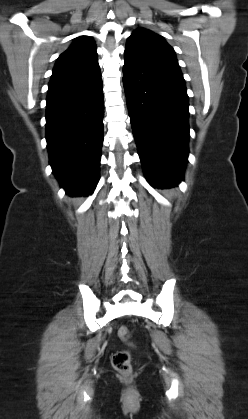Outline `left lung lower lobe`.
<instances>
[{
	"instance_id": "obj_1",
	"label": "left lung lower lobe",
	"mask_w": 248,
	"mask_h": 419,
	"mask_svg": "<svg viewBox=\"0 0 248 419\" xmlns=\"http://www.w3.org/2000/svg\"><path fill=\"white\" fill-rule=\"evenodd\" d=\"M123 84L138 153L152 186L183 180L188 95L181 71L125 51Z\"/></svg>"
}]
</instances>
